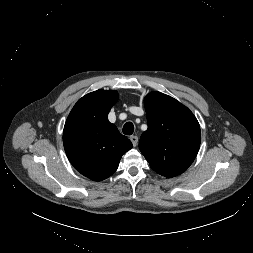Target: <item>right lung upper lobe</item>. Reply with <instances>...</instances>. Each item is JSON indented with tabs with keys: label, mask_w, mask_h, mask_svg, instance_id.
I'll return each mask as SVG.
<instances>
[{
	"label": "right lung upper lobe",
	"mask_w": 253,
	"mask_h": 253,
	"mask_svg": "<svg viewBox=\"0 0 253 253\" xmlns=\"http://www.w3.org/2000/svg\"><path fill=\"white\" fill-rule=\"evenodd\" d=\"M118 100L113 90H97L77 101L63 130V144L73 167L94 181H102L117 169L131 141L108 120Z\"/></svg>",
	"instance_id": "right-lung-upper-lobe-1"
}]
</instances>
